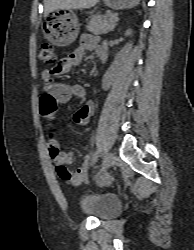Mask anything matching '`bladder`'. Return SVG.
Returning a JSON list of instances; mask_svg holds the SVG:
<instances>
[{
  "label": "bladder",
  "mask_w": 194,
  "mask_h": 250,
  "mask_svg": "<svg viewBox=\"0 0 194 250\" xmlns=\"http://www.w3.org/2000/svg\"><path fill=\"white\" fill-rule=\"evenodd\" d=\"M78 208L83 215L104 220L119 213L121 201L117 196L108 193L83 195L78 202Z\"/></svg>",
  "instance_id": "31cf9c89"
}]
</instances>
